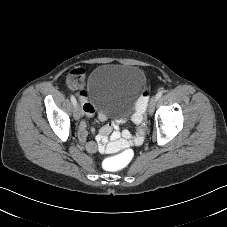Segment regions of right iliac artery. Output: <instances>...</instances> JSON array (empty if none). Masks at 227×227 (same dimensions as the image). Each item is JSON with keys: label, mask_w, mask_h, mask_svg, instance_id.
Segmentation results:
<instances>
[{"label": "right iliac artery", "mask_w": 227, "mask_h": 227, "mask_svg": "<svg viewBox=\"0 0 227 227\" xmlns=\"http://www.w3.org/2000/svg\"><path fill=\"white\" fill-rule=\"evenodd\" d=\"M71 102H72V104H73L74 106H76L77 101H76V98H75L73 95H71Z\"/></svg>", "instance_id": "obj_1"}]
</instances>
